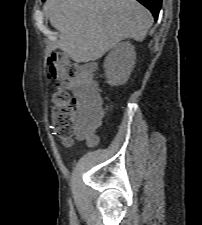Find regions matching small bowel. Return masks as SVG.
I'll list each match as a JSON object with an SVG mask.
<instances>
[{
    "label": "small bowel",
    "instance_id": "c3829d8e",
    "mask_svg": "<svg viewBox=\"0 0 202 225\" xmlns=\"http://www.w3.org/2000/svg\"><path fill=\"white\" fill-rule=\"evenodd\" d=\"M83 66L86 70H91L94 68V63L84 62ZM77 106H78V114L80 115L83 124L92 128L94 126V121L90 116L87 115V112L89 111L88 102L83 99H78Z\"/></svg>",
    "mask_w": 202,
    "mask_h": 225
}]
</instances>
